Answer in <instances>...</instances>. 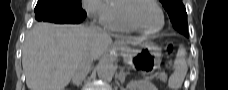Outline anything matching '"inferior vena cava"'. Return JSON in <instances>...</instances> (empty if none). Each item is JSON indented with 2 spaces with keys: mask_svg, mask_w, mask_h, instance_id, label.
Here are the masks:
<instances>
[{
  "mask_svg": "<svg viewBox=\"0 0 228 90\" xmlns=\"http://www.w3.org/2000/svg\"><path fill=\"white\" fill-rule=\"evenodd\" d=\"M89 31H90V36H99L106 33L102 28L96 26L92 22L90 23ZM92 60L93 59L90 52H86L82 56L80 61L75 66V69L72 75L73 84L79 86L82 83V81L86 78V76L90 71Z\"/></svg>",
  "mask_w": 228,
  "mask_h": 90,
  "instance_id": "inferior-vena-cava-1",
  "label": "inferior vena cava"
}]
</instances>
